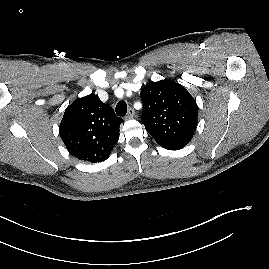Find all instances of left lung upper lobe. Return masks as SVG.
Instances as JSON below:
<instances>
[{
	"label": "left lung upper lobe",
	"mask_w": 269,
	"mask_h": 269,
	"mask_svg": "<svg viewBox=\"0 0 269 269\" xmlns=\"http://www.w3.org/2000/svg\"><path fill=\"white\" fill-rule=\"evenodd\" d=\"M142 123L155 141L166 149L182 148L193 137L198 107L180 84L161 80L146 84L140 93Z\"/></svg>",
	"instance_id": "5c2ea615"
}]
</instances>
